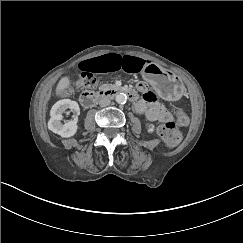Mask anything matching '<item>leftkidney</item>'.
<instances>
[{"label": "left kidney", "instance_id": "obj_1", "mask_svg": "<svg viewBox=\"0 0 243 243\" xmlns=\"http://www.w3.org/2000/svg\"><path fill=\"white\" fill-rule=\"evenodd\" d=\"M155 124H153V123H150V124H147L146 126H145V128H146V131L149 133V134H152V133H154L155 132Z\"/></svg>", "mask_w": 243, "mask_h": 243}]
</instances>
